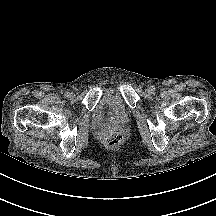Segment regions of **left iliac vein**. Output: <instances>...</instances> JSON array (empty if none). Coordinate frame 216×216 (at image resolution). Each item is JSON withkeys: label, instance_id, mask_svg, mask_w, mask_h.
Instances as JSON below:
<instances>
[{"label": "left iliac vein", "instance_id": "obj_1", "mask_svg": "<svg viewBox=\"0 0 216 216\" xmlns=\"http://www.w3.org/2000/svg\"><path fill=\"white\" fill-rule=\"evenodd\" d=\"M145 92H146L147 95L152 94V93H153V91H152V86L148 87V88L145 90Z\"/></svg>", "mask_w": 216, "mask_h": 216}]
</instances>
